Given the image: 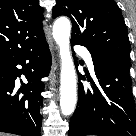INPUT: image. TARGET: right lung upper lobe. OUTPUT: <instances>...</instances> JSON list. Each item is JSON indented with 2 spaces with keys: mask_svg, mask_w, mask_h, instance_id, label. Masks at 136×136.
Listing matches in <instances>:
<instances>
[{
  "mask_svg": "<svg viewBox=\"0 0 136 136\" xmlns=\"http://www.w3.org/2000/svg\"><path fill=\"white\" fill-rule=\"evenodd\" d=\"M38 0H0V59L11 57L44 37Z\"/></svg>",
  "mask_w": 136,
  "mask_h": 136,
  "instance_id": "obj_1",
  "label": "right lung upper lobe"
}]
</instances>
